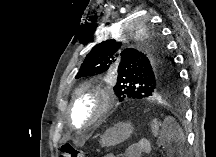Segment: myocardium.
<instances>
[{
  "mask_svg": "<svg viewBox=\"0 0 216 157\" xmlns=\"http://www.w3.org/2000/svg\"><path fill=\"white\" fill-rule=\"evenodd\" d=\"M92 95L96 100V108L92 117L83 125L77 126L74 123L73 113L76 108L78 101L84 97ZM115 102V98L110 90L102 85L87 82L75 88L71 95V101L69 106V114L72 119L71 124L79 129H85L91 127L102 120L105 115L110 111Z\"/></svg>",
  "mask_w": 216,
  "mask_h": 157,
  "instance_id": "obj_1",
  "label": "myocardium"
}]
</instances>
